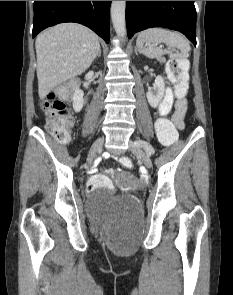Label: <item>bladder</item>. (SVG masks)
Instances as JSON below:
<instances>
[{
  "label": "bladder",
  "mask_w": 233,
  "mask_h": 295,
  "mask_svg": "<svg viewBox=\"0 0 233 295\" xmlns=\"http://www.w3.org/2000/svg\"><path fill=\"white\" fill-rule=\"evenodd\" d=\"M87 208L96 216L120 213L139 214L141 211L137 198L130 195L115 197L110 200H98L95 196H91L87 201Z\"/></svg>",
  "instance_id": "obj_1"
}]
</instances>
